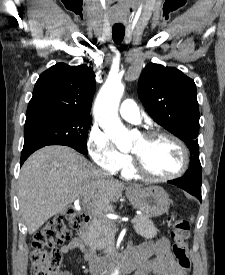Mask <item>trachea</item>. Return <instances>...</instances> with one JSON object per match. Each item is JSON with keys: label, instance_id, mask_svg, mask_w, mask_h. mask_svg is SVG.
I'll list each match as a JSON object with an SVG mask.
<instances>
[{"label": "trachea", "instance_id": "3493384b", "mask_svg": "<svg viewBox=\"0 0 225 275\" xmlns=\"http://www.w3.org/2000/svg\"><path fill=\"white\" fill-rule=\"evenodd\" d=\"M113 40L116 44H120L125 35V28L119 26H113L112 28Z\"/></svg>", "mask_w": 225, "mask_h": 275}]
</instances>
